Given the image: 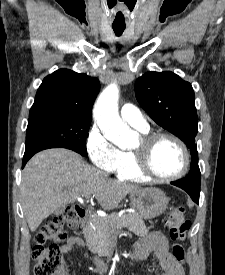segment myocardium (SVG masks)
<instances>
[{
	"label": "myocardium",
	"mask_w": 225,
	"mask_h": 275,
	"mask_svg": "<svg viewBox=\"0 0 225 275\" xmlns=\"http://www.w3.org/2000/svg\"><path fill=\"white\" fill-rule=\"evenodd\" d=\"M161 140H171L176 143L183 154V166L177 173L168 176H162L154 172L150 164V155L153 148ZM141 147L133 151L135 156V165L138 172L147 179L154 181H173L184 176L190 167V154L186 144L177 136L167 133L152 132L146 133L141 139Z\"/></svg>",
	"instance_id": "f54148a6"
}]
</instances>
